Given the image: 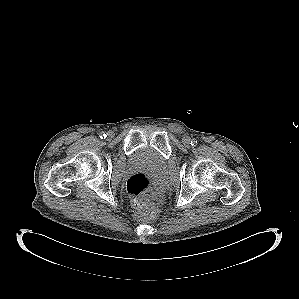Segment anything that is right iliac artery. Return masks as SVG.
<instances>
[{"mask_svg": "<svg viewBox=\"0 0 299 299\" xmlns=\"http://www.w3.org/2000/svg\"><path fill=\"white\" fill-rule=\"evenodd\" d=\"M106 137H107V135L105 133H101V135H100L101 139L106 138Z\"/></svg>", "mask_w": 299, "mask_h": 299, "instance_id": "obj_1", "label": "right iliac artery"}]
</instances>
